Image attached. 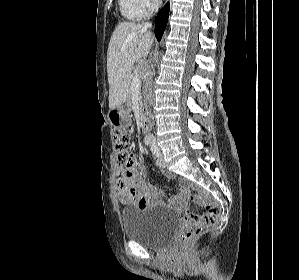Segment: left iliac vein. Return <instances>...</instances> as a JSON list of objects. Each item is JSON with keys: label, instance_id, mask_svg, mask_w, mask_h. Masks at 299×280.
<instances>
[{"label": "left iliac vein", "instance_id": "left-iliac-vein-1", "mask_svg": "<svg viewBox=\"0 0 299 280\" xmlns=\"http://www.w3.org/2000/svg\"><path fill=\"white\" fill-rule=\"evenodd\" d=\"M157 165L160 167V168H165L166 164H165V160H164V157L163 155H159L157 161H156Z\"/></svg>", "mask_w": 299, "mask_h": 280}]
</instances>
